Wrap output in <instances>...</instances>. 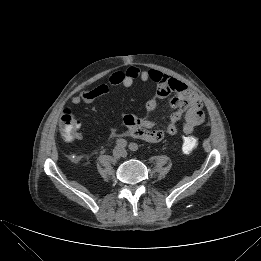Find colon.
<instances>
[{
  "mask_svg": "<svg viewBox=\"0 0 261 261\" xmlns=\"http://www.w3.org/2000/svg\"><path fill=\"white\" fill-rule=\"evenodd\" d=\"M59 125L61 129V134L66 141H72L75 137L77 132L79 122L78 120L72 115L69 109H64L60 120ZM198 145V140L196 137L191 135L190 133H184L182 135V150L185 153H190Z\"/></svg>",
  "mask_w": 261,
  "mask_h": 261,
  "instance_id": "colon-1",
  "label": "colon"
}]
</instances>
